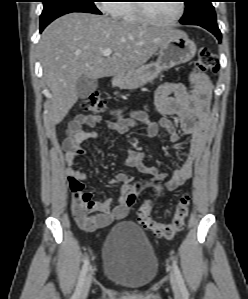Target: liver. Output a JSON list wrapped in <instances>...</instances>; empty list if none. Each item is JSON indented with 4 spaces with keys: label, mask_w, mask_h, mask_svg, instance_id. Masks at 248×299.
I'll use <instances>...</instances> for the list:
<instances>
[{
    "label": "liver",
    "mask_w": 248,
    "mask_h": 299,
    "mask_svg": "<svg viewBox=\"0 0 248 299\" xmlns=\"http://www.w3.org/2000/svg\"><path fill=\"white\" fill-rule=\"evenodd\" d=\"M177 32L88 13H69L53 21L39 42L44 78L52 93L51 122L60 123L77 102L79 77L98 79L132 72ZM105 49L112 54L104 56Z\"/></svg>",
    "instance_id": "1"
}]
</instances>
